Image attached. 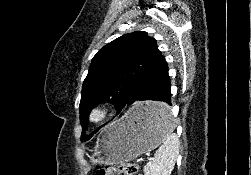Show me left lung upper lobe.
<instances>
[{
    "label": "left lung upper lobe",
    "instance_id": "1",
    "mask_svg": "<svg viewBox=\"0 0 251 175\" xmlns=\"http://www.w3.org/2000/svg\"><path fill=\"white\" fill-rule=\"evenodd\" d=\"M162 58L156 40L143 31L125 34L101 48L83 82L79 112L84 131L88 114L98 103H126L137 82ZM84 131L81 141L92 137Z\"/></svg>",
    "mask_w": 251,
    "mask_h": 175
}]
</instances>
